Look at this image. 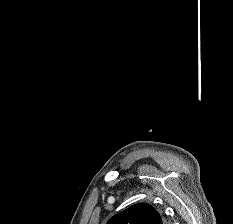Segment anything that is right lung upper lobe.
<instances>
[{
  "label": "right lung upper lobe",
  "instance_id": "1",
  "mask_svg": "<svg viewBox=\"0 0 233 224\" xmlns=\"http://www.w3.org/2000/svg\"><path fill=\"white\" fill-rule=\"evenodd\" d=\"M107 224H163V219L151 205L138 203L114 215Z\"/></svg>",
  "mask_w": 233,
  "mask_h": 224
}]
</instances>
